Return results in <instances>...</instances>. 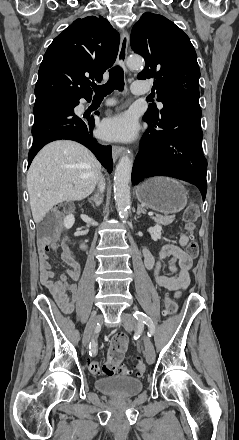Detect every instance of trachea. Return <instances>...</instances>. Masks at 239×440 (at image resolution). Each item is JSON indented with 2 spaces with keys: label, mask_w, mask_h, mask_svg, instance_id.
Here are the masks:
<instances>
[{
  "label": "trachea",
  "mask_w": 239,
  "mask_h": 440,
  "mask_svg": "<svg viewBox=\"0 0 239 440\" xmlns=\"http://www.w3.org/2000/svg\"><path fill=\"white\" fill-rule=\"evenodd\" d=\"M95 91L94 98L103 99L114 90L122 91L124 89V72L123 69L116 65L109 70V80L104 85H92Z\"/></svg>",
  "instance_id": "trachea-1"
}]
</instances>
